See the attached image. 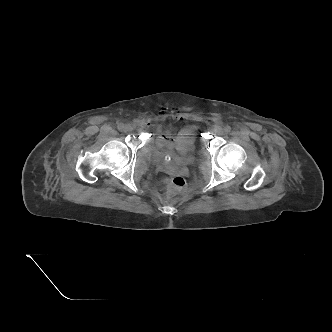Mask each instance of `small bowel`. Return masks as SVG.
Segmentation results:
<instances>
[{
    "label": "small bowel",
    "instance_id": "small-bowel-1",
    "mask_svg": "<svg viewBox=\"0 0 332 332\" xmlns=\"http://www.w3.org/2000/svg\"><path fill=\"white\" fill-rule=\"evenodd\" d=\"M172 115L177 119H183V115L176 113L175 110L162 111L161 116L166 117ZM156 135L157 145L164 148L176 149L186 143L193 141L194 135L197 131L195 126H186L182 128L176 136L173 134V129L169 126L155 124L153 125Z\"/></svg>",
    "mask_w": 332,
    "mask_h": 332
}]
</instances>
